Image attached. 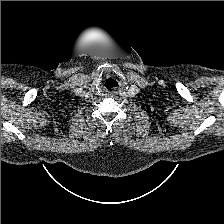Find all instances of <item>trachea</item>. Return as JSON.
Listing matches in <instances>:
<instances>
[{"mask_svg": "<svg viewBox=\"0 0 224 224\" xmlns=\"http://www.w3.org/2000/svg\"><path fill=\"white\" fill-rule=\"evenodd\" d=\"M118 85H119L118 81H116L113 78H107L104 82V86L108 90H112L114 87H117Z\"/></svg>", "mask_w": 224, "mask_h": 224, "instance_id": "1", "label": "trachea"}]
</instances>
